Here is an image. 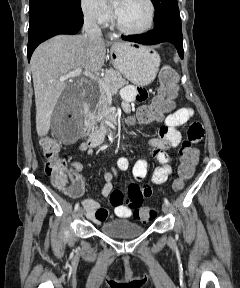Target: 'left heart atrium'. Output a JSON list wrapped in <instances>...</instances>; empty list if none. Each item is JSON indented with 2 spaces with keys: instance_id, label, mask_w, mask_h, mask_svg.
I'll list each match as a JSON object with an SVG mask.
<instances>
[{
  "instance_id": "1",
  "label": "left heart atrium",
  "mask_w": 240,
  "mask_h": 288,
  "mask_svg": "<svg viewBox=\"0 0 240 288\" xmlns=\"http://www.w3.org/2000/svg\"><path fill=\"white\" fill-rule=\"evenodd\" d=\"M115 10L118 12L121 8L122 0H112Z\"/></svg>"
}]
</instances>
